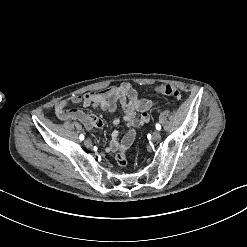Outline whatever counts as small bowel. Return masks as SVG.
Masks as SVG:
<instances>
[{"mask_svg": "<svg viewBox=\"0 0 247 247\" xmlns=\"http://www.w3.org/2000/svg\"><path fill=\"white\" fill-rule=\"evenodd\" d=\"M76 103H81L84 107H98L108 113L115 112L118 105L121 107L123 111L122 120L129 130L121 140L119 139V131L114 130L106 150L118 152L115 155V161L120 166H126L129 162L124 159V150L133 144L136 138V131L150 122L148 111L156 105V102L140 98L137 90L130 83L123 82L119 85L73 96L56 103L55 113L60 120H78L87 129H91L101 127V121L82 110L67 109L68 105ZM112 123L114 126H118L121 123V119L115 118Z\"/></svg>", "mask_w": 247, "mask_h": 247, "instance_id": "c3829d8e", "label": "small bowel"}]
</instances>
